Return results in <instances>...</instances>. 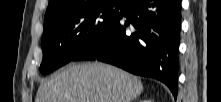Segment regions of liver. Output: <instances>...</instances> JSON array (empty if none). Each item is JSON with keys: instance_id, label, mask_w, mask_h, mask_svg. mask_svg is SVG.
Listing matches in <instances>:
<instances>
[{"instance_id": "6515ba94", "label": "liver", "mask_w": 221, "mask_h": 102, "mask_svg": "<svg viewBox=\"0 0 221 102\" xmlns=\"http://www.w3.org/2000/svg\"><path fill=\"white\" fill-rule=\"evenodd\" d=\"M143 92L137 77L114 66H68L40 85L35 102H132Z\"/></svg>"}]
</instances>
